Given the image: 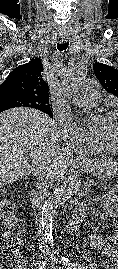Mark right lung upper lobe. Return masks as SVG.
Returning a JSON list of instances; mask_svg holds the SVG:
<instances>
[{"mask_svg": "<svg viewBox=\"0 0 118 269\" xmlns=\"http://www.w3.org/2000/svg\"><path fill=\"white\" fill-rule=\"evenodd\" d=\"M40 58L16 67L0 85V100L6 94H20L42 103H49V87L42 78ZM53 117L52 112L47 113Z\"/></svg>", "mask_w": 118, "mask_h": 269, "instance_id": "1", "label": "right lung upper lobe"}]
</instances>
